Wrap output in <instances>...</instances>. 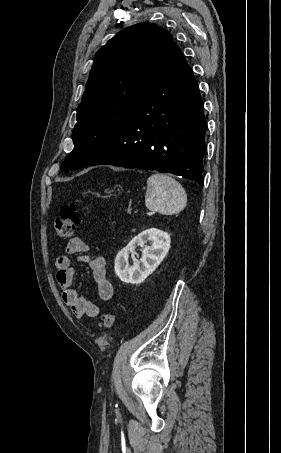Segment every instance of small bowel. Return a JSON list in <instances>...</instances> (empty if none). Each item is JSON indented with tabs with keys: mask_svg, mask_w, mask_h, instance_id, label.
Here are the masks:
<instances>
[{
	"mask_svg": "<svg viewBox=\"0 0 281 453\" xmlns=\"http://www.w3.org/2000/svg\"><path fill=\"white\" fill-rule=\"evenodd\" d=\"M74 254H80L83 261L89 266L99 297L103 300H109L113 291L107 275L105 259L102 255L90 253L88 245L82 239L71 238L66 251L60 254L55 261L56 278L62 290L63 302L71 308L77 317L87 315L96 318L99 315V307L81 298L73 291L74 269L71 261Z\"/></svg>",
	"mask_w": 281,
	"mask_h": 453,
	"instance_id": "obj_1",
	"label": "small bowel"
}]
</instances>
